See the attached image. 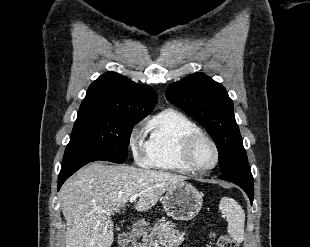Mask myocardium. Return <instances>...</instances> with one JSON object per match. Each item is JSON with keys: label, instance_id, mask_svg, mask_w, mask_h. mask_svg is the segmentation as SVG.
Returning <instances> with one entry per match:
<instances>
[{"label": "myocardium", "instance_id": "myocardium-1", "mask_svg": "<svg viewBox=\"0 0 310 247\" xmlns=\"http://www.w3.org/2000/svg\"><path fill=\"white\" fill-rule=\"evenodd\" d=\"M202 140H205L208 143H210L215 152L214 162L207 167H199L195 165L192 159V154H193V150L195 146ZM181 157H182L184 164L187 166V168L190 171L196 172V173H204V172L212 170L218 164L219 159H220V151H219L218 145L211 137H209L208 135L202 132H198V133L191 134L185 138L183 145H182V149H181Z\"/></svg>", "mask_w": 310, "mask_h": 247}]
</instances>
